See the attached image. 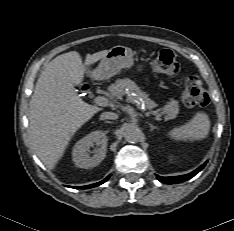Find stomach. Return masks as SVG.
Returning <instances> with one entry per match:
<instances>
[{
    "label": "stomach",
    "mask_w": 234,
    "mask_h": 231,
    "mask_svg": "<svg viewBox=\"0 0 234 231\" xmlns=\"http://www.w3.org/2000/svg\"><path fill=\"white\" fill-rule=\"evenodd\" d=\"M134 65V53L125 46H115L101 59L99 65L90 72L96 80H106L118 74L123 68H131ZM141 66H138V71Z\"/></svg>",
    "instance_id": "stomach-1"
}]
</instances>
